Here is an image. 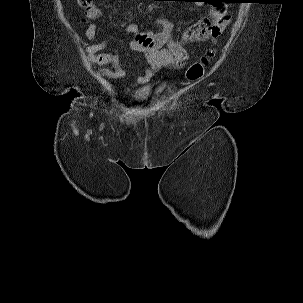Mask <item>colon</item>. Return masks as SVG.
Instances as JSON below:
<instances>
[{"instance_id":"obj_1","label":"colon","mask_w":303,"mask_h":303,"mask_svg":"<svg viewBox=\"0 0 303 303\" xmlns=\"http://www.w3.org/2000/svg\"><path fill=\"white\" fill-rule=\"evenodd\" d=\"M94 0H78L80 6L88 7L92 5ZM218 36H213L212 39H217ZM212 51H208L200 61L192 64L186 71V78L188 80H198L200 79L205 72V66L208 63L209 59L212 57Z\"/></svg>"}]
</instances>
